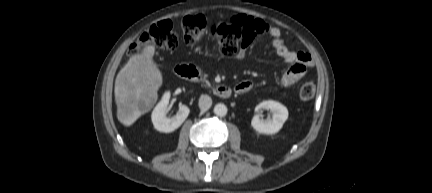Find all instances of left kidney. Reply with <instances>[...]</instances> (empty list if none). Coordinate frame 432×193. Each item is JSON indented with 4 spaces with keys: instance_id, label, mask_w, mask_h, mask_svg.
<instances>
[{
    "instance_id": "left-kidney-1",
    "label": "left kidney",
    "mask_w": 432,
    "mask_h": 193,
    "mask_svg": "<svg viewBox=\"0 0 432 193\" xmlns=\"http://www.w3.org/2000/svg\"><path fill=\"white\" fill-rule=\"evenodd\" d=\"M262 109L270 110L272 119L263 120L258 115H255L251 121L252 127L262 134H275L279 132L284 122L288 119L287 108L279 102L266 100L255 107L256 112Z\"/></svg>"
}]
</instances>
